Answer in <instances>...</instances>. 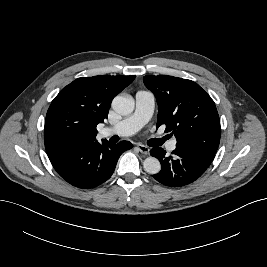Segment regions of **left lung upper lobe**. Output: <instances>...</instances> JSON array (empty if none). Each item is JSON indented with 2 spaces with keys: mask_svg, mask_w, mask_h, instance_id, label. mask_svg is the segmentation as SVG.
Wrapping results in <instances>:
<instances>
[{
  "mask_svg": "<svg viewBox=\"0 0 267 267\" xmlns=\"http://www.w3.org/2000/svg\"><path fill=\"white\" fill-rule=\"evenodd\" d=\"M145 86L159 106L157 128L166 125L177 138L176 145L217 151L221 127L214 101L198 84L173 76L146 75Z\"/></svg>",
  "mask_w": 267,
  "mask_h": 267,
  "instance_id": "obj_1",
  "label": "left lung upper lobe"
}]
</instances>
